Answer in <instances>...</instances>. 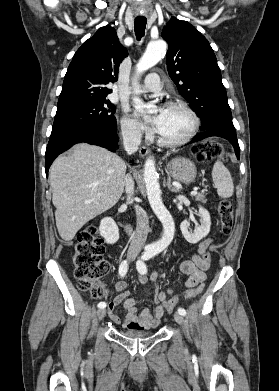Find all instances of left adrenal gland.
Returning <instances> with one entry per match:
<instances>
[{"label": "left adrenal gland", "mask_w": 279, "mask_h": 391, "mask_svg": "<svg viewBox=\"0 0 279 391\" xmlns=\"http://www.w3.org/2000/svg\"><path fill=\"white\" fill-rule=\"evenodd\" d=\"M167 187H168V189H169L171 192H175V193L179 192V189H178V188L172 187V185H171V179H170V178H168V180H167Z\"/></svg>", "instance_id": "obj_1"}]
</instances>
